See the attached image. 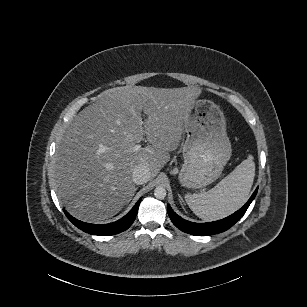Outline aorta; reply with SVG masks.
Instances as JSON below:
<instances>
[{"label":"aorta","mask_w":307,"mask_h":307,"mask_svg":"<svg viewBox=\"0 0 307 307\" xmlns=\"http://www.w3.org/2000/svg\"><path fill=\"white\" fill-rule=\"evenodd\" d=\"M167 191L163 186H157L154 189V196L157 199H164L166 197Z\"/></svg>","instance_id":"1"}]
</instances>
